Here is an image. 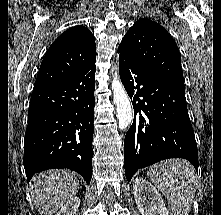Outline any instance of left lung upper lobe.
Masks as SVG:
<instances>
[{"mask_svg":"<svg viewBox=\"0 0 221 215\" xmlns=\"http://www.w3.org/2000/svg\"><path fill=\"white\" fill-rule=\"evenodd\" d=\"M118 52L143 70L185 88L179 49L160 24L139 19L125 34Z\"/></svg>","mask_w":221,"mask_h":215,"instance_id":"1","label":"left lung upper lobe"}]
</instances>
